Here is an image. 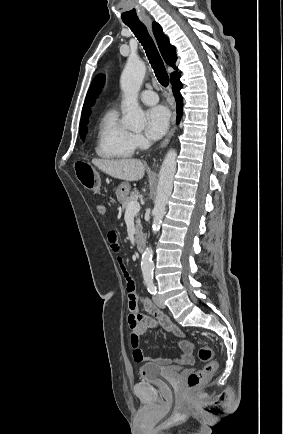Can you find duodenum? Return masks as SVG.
<instances>
[{"label":"duodenum","mask_w":283,"mask_h":434,"mask_svg":"<svg viewBox=\"0 0 283 434\" xmlns=\"http://www.w3.org/2000/svg\"><path fill=\"white\" fill-rule=\"evenodd\" d=\"M136 246L140 253L144 252L146 247V240L143 236H138L136 238Z\"/></svg>","instance_id":"duodenum-1"}]
</instances>
